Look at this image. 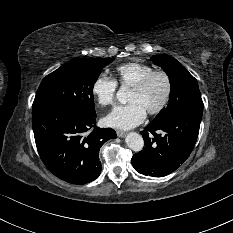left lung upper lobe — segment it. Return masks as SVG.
I'll return each mask as SVG.
<instances>
[{
  "label": "left lung upper lobe",
  "mask_w": 233,
  "mask_h": 233,
  "mask_svg": "<svg viewBox=\"0 0 233 233\" xmlns=\"http://www.w3.org/2000/svg\"><path fill=\"white\" fill-rule=\"evenodd\" d=\"M151 60L167 73L171 84L169 103L152 124H160L193 104L203 103L196 79L180 62L163 55H154Z\"/></svg>",
  "instance_id": "obj_1"
}]
</instances>
